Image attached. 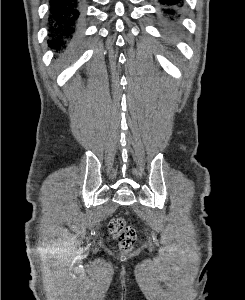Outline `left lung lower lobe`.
<instances>
[{
  "mask_svg": "<svg viewBox=\"0 0 245 300\" xmlns=\"http://www.w3.org/2000/svg\"><path fill=\"white\" fill-rule=\"evenodd\" d=\"M160 2L164 6L163 11L166 20L169 23L174 24L178 18L179 10L183 5V0H160Z\"/></svg>",
  "mask_w": 245,
  "mask_h": 300,
  "instance_id": "0a47b994",
  "label": "left lung lower lobe"
}]
</instances>
